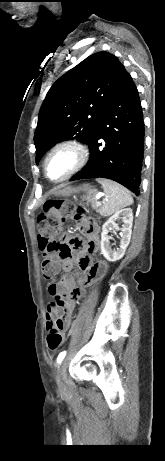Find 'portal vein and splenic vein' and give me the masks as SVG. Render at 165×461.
Instances as JSON below:
<instances>
[{"label":"portal vein and splenic vein","mask_w":165,"mask_h":461,"mask_svg":"<svg viewBox=\"0 0 165 461\" xmlns=\"http://www.w3.org/2000/svg\"><path fill=\"white\" fill-rule=\"evenodd\" d=\"M99 198H100V195L98 194V195L96 196V199H99ZM96 204H97L98 206H100V205H101V201L97 200V201H96Z\"/></svg>","instance_id":"obj_1"}]
</instances>
